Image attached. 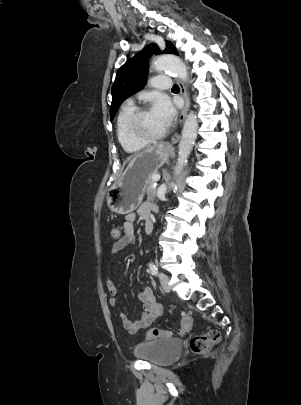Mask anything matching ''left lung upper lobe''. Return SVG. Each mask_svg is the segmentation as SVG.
<instances>
[{
	"mask_svg": "<svg viewBox=\"0 0 301 405\" xmlns=\"http://www.w3.org/2000/svg\"><path fill=\"white\" fill-rule=\"evenodd\" d=\"M160 53L155 45H148L134 57L129 59L118 71L116 79L111 88L112 104L110 108V118L113 120L121 103L129 96L140 91L145 83L148 72V58L154 52ZM163 53L176 54L178 52L171 42L167 41Z\"/></svg>",
	"mask_w": 301,
	"mask_h": 405,
	"instance_id": "5c2ea615",
	"label": "left lung upper lobe"
}]
</instances>
